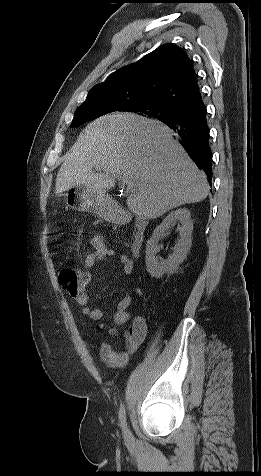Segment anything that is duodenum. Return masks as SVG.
I'll return each mask as SVG.
<instances>
[{"mask_svg":"<svg viewBox=\"0 0 261 476\" xmlns=\"http://www.w3.org/2000/svg\"><path fill=\"white\" fill-rule=\"evenodd\" d=\"M112 219L116 224H125L130 221L129 215L121 210L113 213ZM148 222L144 218H137L134 224V230L130 241V251L134 257H138L141 253L145 242V235Z\"/></svg>","mask_w":261,"mask_h":476,"instance_id":"obj_1","label":"duodenum"}]
</instances>
